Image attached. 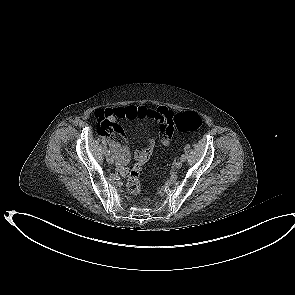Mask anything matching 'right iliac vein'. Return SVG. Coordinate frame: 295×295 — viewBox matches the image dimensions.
Instances as JSON below:
<instances>
[{
    "label": "right iliac vein",
    "instance_id": "63e3f726",
    "mask_svg": "<svg viewBox=\"0 0 295 295\" xmlns=\"http://www.w3.org/2000/svg\"><path fill=\"white\" fill-rule=\"evenodd\" d=\"M107 162H108L109 164H114V162H115L114 157L111 156V155H108V156H107Z\"/></svg>",
    "mask_w": 295,
    "mask_h": 295
}]
</instances>
